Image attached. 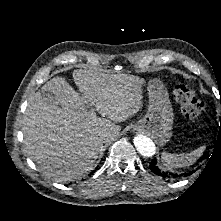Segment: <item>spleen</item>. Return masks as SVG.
I'll return each instance as SVG.
<instances>
[{
    "label": "spleen",
    "mask_w": 221,
    "mask_h": 221,
    "mask_svg": "<svg viewBox=\"0 0 221 221\" xmlns=\"http://www.w3.org/2000/svg\"><path fill=\"white\" fill-rule=\"evenodd\" d=\"M204 149L205 147L201 146L187 154H171L163 152L161 156L163 166L169 170L190 166L203 154Z\"/></svg>",
    "instance_id": "1"
}]
</instances>
